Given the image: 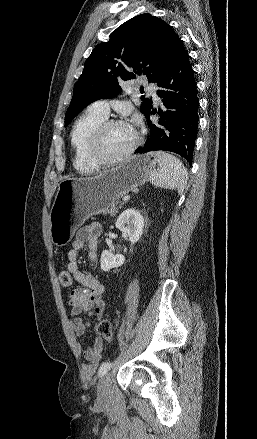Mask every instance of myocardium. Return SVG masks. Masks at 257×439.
<instances>
[{
  "label": "myocardium",
  "mask_w": 257,
  "mask_h": 439,
  "mask_svg": "<svg viewBox=\"0 0 257 439\" xmlns=\"http://www.w3.org/2000/svg\"><path fill=\"white\" fill-rule=\"evenodd\" d=\"M120 124H128V123L125 122L124 120H120V119H105L92 132L90 139H89L88 151H89V154H90L92 160L97 165L113 164V163L121 162V161L125 160L126 158H128L137 149V147L141 144L142 136H141L140 132L135 129L136 130V138H135L134 142L126 150H124L122 153H120L117 156L110 157V158L105 157L103 152H102V142H103L104 135L110 127L115 126V125H120Z\"/></svg>",
  "instance_id": "f54148a6"
}]
</instances>
